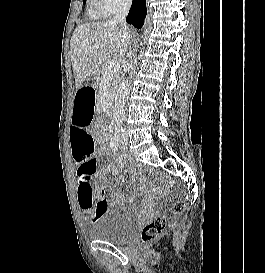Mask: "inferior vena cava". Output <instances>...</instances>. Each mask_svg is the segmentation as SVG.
I'll list each match as a JSON object with an SVG mask.
<instances>
[{
    "instance_id": "obj_1",
    "label": "inferior vena cava",
    "mask_w": 265,
    "mask_h": 273,
    "mask_svg": "<svg viewBox=\"0 0 265 273\" xmlns=\"http://www.w3.org/2000/svg\"><path fill=\"white\" fill-rule=\"evenodd\" d=\"M132 0H121L118 5L117 12L113 19L110 21L111 24H120L121 27L127 28L126 25V16L128 15L129 9L131 7ZM134 55L132 50H129L128 57L132 59ZM129 68H132V65H129Z\"/></svg>"
}]
</instances>
